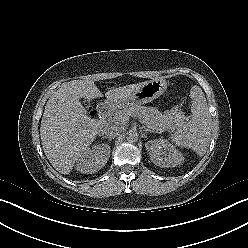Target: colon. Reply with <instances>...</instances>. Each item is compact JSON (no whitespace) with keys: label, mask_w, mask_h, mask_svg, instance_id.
Segmentation results:
<instances>
[{"label":"colon","mask_w":248,"mask_h":248,"mask_svg":"<svg viewBox=\"0 0 248 248\" xmlns=\"http://www.w3.org/2000/svg\"><path fill=\"white\" fill-rule=\"evenodd\" d=\"M91 113H92L93 115H95L96 111H95V110H92Z\"/></svg>","instance_id":"obj_1"}]
</instances>
